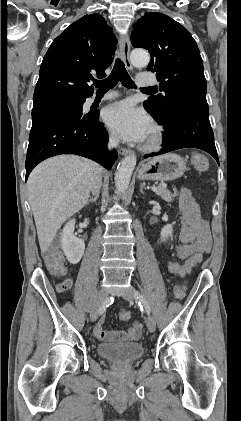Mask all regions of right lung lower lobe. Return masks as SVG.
I'll return each mask as SVG.
<instances>
[{
  "label": "right lung lower lobe",
  "instance_id": "1",
  "mask_svg": "<svg viewBox=\"0 0 241 421\" xmlns=\"http://www.w3.org/2000/svg\"><path fill=\"white\" fill-rule=\"evenodd\" d=\"M86 98L61 100L32 116L26 157V180L41 161L60 154H76L110 169L118 155L106 150L108 132L98 122L99 113L84 116Z\"/></svg>",
  "mask_w": 241,
  "mask_h": 421
}]
</instances>
